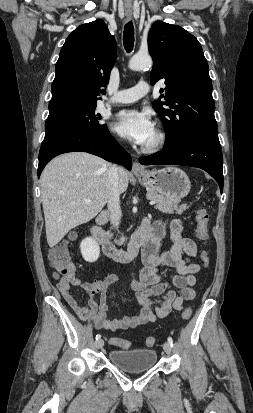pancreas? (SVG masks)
<instances>
[{
  "label": "pancreas",
  "instance_id": "obj_1",
  "mask_svg": "<svg viewBox=\"0 0 253 413\" xmlns=\"http://www.w3.org/2000/svg\"><path fill=\"white\" fill-rule=\"evenodd\" d=\"M147 198L154 200L156 202L155 208L163 213L173 214L174 212H176L177 214H182L186 209L189 208L187 204L179 205L180 200L172 199L170 197L158 194L153 190H149L147 192Z\"/></svg>",
  "mask_w": 253,
  "mask_h": 413
}]
</instances>
